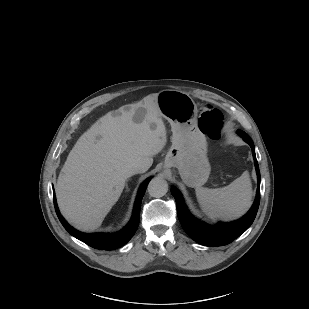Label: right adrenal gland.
I'll use <instances>...</instances> for the list:
<instances>
[{
	"label": "right adrenal gland",
	"instance_id": "obj_1",
	"mask_svg": "<svg viewBox=\"0 0 309 309\" xmlns=\"http://www.w3.org/2000/svg\"><path fill=\"white\" fill-rule=\"evenodd\" d=\"M126 191H129L128 185L126 184Z\"/></svg>",
	"mask_w": 309,
	"mask_h": 309
}]
</instances>
